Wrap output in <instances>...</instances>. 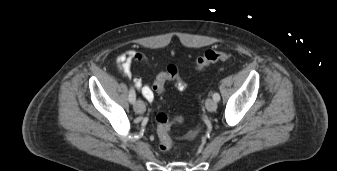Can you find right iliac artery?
<instances>
[{"label":"right iliac artery","instance_id":"1","mask_svg":"<svg viewBox=\"0 0 337 171\" xmlns=\"http://www.w3.org/2000/svg\"><path fill=\"white\" fill-rule=\"evenodd\" d=\"M136 100V94H135V90L133 87L130 88V91H129V101L130 103H134Z\"/></svg>","mask_w":337,"mask_h":171}]
</instances>
